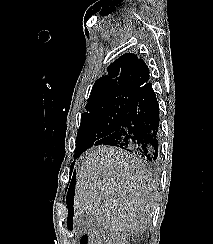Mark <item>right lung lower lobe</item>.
<instances>
[{
	"instance_id": "98d812e1",
	"label": "right lung lower lobe",
	"mask_w": 213,
	"mask_h": 244,
	"mask_svg": "<svg viewBox=\"0 0 213 244\" xmlns=\"http://www.w3.org/2000/svg\"><path fill=\"white\" fill-rule=\"evenodd\" d=\"M159 122L157 98L152 84L148 83L137 94L118 128L110 135L96 141L94 145L116 146L149 161L156 160L159 148ZM74 185L73 179L67 195L70 213L72 209L70 199L74 194Z\"/></svg>"
}]
</instances>
